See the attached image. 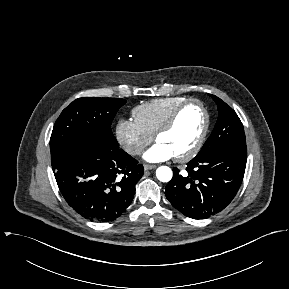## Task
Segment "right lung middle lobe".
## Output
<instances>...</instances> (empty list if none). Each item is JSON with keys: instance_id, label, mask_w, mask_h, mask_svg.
Listing matches in <instances>:
<instances>
[{"instance_id": "obj_1", "label": "right lung middle lobe", "mask_w": 289, "mask_h": 289, "mask_svg": "<svg viewBox=\"0 0 289 289\" xmlns=\"http://www.w3.org/2000/svg\"><path fill=\"white\" fill-rule=\"evenodd\" d=\"M125 103L126 100L121 98L85 97L66 107L58 117L50 138L52 167L67 154L90 143L119 148L111 124Z\"/></svg>"}]
</instances>
